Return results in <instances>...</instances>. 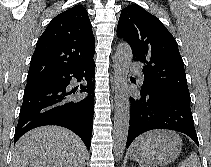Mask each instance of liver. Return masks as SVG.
<instances>
[{
  "label": "liver",
  "mask_w": 211,
  "mask_h": 167,
  "mask_svg": "<svg viewBox=\"0 0 211 167\" xmlns=\"http://www.w3.org/2000/svg\"><path fill=\"white\" fill-rule=\"evenodd\" d=\"M86 149L73 132L59 126L35 128L16 143L10 167H83Z\"/></svg>",
  "instance_id": "liver-1"
}]
</instances>
